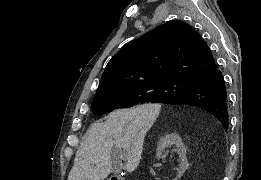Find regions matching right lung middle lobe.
<instances>
[{"mask_svg": "<svg viewBox=\"0 0 261 180\" xmlns=\"http://www.w3.org/2000/svg\"><path fill=\"white\" fill-rule=\"evenodd\" d=\"M191 81L162 80L139 84L95 97L91 110L94 114H105L118 108H129L140 103H166L189 91Z\"/></svg>", "mask_w": 261, "mask_h": 180, "instance_id": "obj_1", "label": "right lung middle lobe"}]
</instances>
